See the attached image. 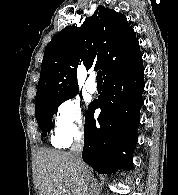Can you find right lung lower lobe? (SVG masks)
<instances>
[{
  "label": "right lung lower lobe",
  "mask_w": 178,
  "mask_h": 195,
  "mask_svg": "<svg viewBox=\"0 0 178 195\" xmlns=\"http://www.w3.org/2000/svg\"><path fill=\"white\" fill-rule=\"evenodd\" d=\"M144 68L142 60L132 68L104 79L98 101L85 117L83 160L103 174L133 167L136 128L143 105ZM101 109L97 121L93 113ZM122 151L126 152L123 154Z\"/></svg>",
  "instance_id": "right-lung-lower-lobe-1"
}]
</instances>
